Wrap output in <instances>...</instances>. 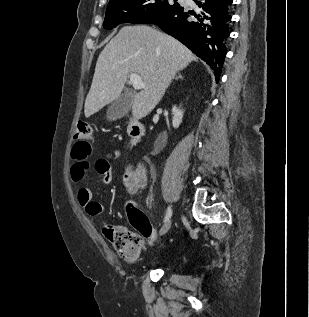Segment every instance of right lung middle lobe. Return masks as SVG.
Instances as JSON below:
<instances>
[{
    "label": "right lung middle lobe",
    "mask_w": 309,
    "mask_h": 317,
    "mask_svg": "<svg viewBox=\"0 0 309 317\" xmlns=\"http://www.w3.org/2000/svg\"><path fill=\"white\" fill-rule=\"evenodd\" d=\"M177 0H110L103 23L105 29H113L121 23L141 21L178 8Z\"/></svg>",
    "instance_id": "dd1d6c3e"
}]
</instances>
